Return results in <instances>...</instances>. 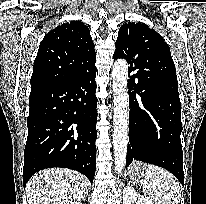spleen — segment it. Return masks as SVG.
Returning a JSON list of instances; mask_svg holds the SVG:
<instances>
[{
  "instance_id": "1",
  "label": "spleen",
  "mask_w": 206,
  "mask_h": 204,
  "mask_svg": "<svg viewBox=\"0 0 206 204\" xmlns=\"http://www.w3.org/2000/svg\"><path fill=\"white\" fill-rule=\"evenodd\" d=\"M141 187L154 204H178L181 198L179 182L167 170L147 165Z\"/></svg>"
}]
</instances>
